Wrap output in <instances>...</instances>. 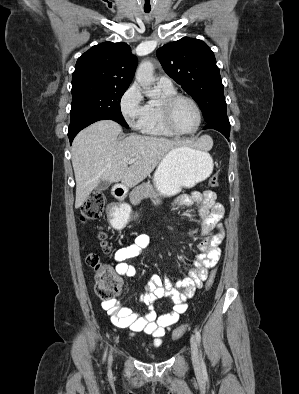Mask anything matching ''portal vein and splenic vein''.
Wrapping results in <instances>:
<instances>
[{
  "mask_svg": "<svg viewBox=\"0 0 299 394\" xmlns=\"http://www.w3.org/2000/svg\"><path fill=\"white\" fill-rule=\"evenodd\" d=\"M135 161H136V159H135V158H132V159H130V160L128 161V163H129V164H133V163H135Z\"/></svg>",
  "mask_w": 299,
  "mask_h": 394,
  "instance_id": "portal-vein-and-splenic-vein-1",
  "label": "portal vein and splenic vein"
}]
</instances>
